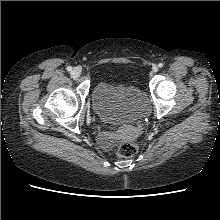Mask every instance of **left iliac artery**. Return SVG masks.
<instances>
[{"label":"left iliac artery","instance_id":"left-iliac-artery-1","mask_svg":"<svg viewBox=\"0 0 220 220\" xmlns=\"http://www.w3.org/2000/svg\"><path fill=\"white\" fill-rule=\"evenodd\" d=\"M160 68H162L163 66H164V64L163 63H159V65H158Z\"/></svg>","mask_w":220,"mask_h":220}]
</instances>
